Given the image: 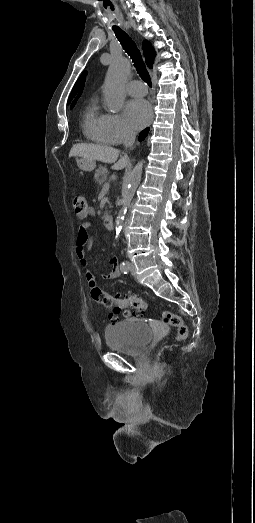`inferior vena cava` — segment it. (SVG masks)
<instances>
[{"mask_svg": "<svg viewBox=\"0 0 255 523\" xmlns=\"http://www.w3.org/2000/svg\"><path fill=\"white\" fill-rule=\"evenodd\" d=\"M136 134L137 132H134V130H126L125 146H127V148L135 144Z\"/></svg>", "mask_w": 255, "mask_h": 523, "instance_id": "602c4592", "label": "inferior vena cava"}]
</instances>
